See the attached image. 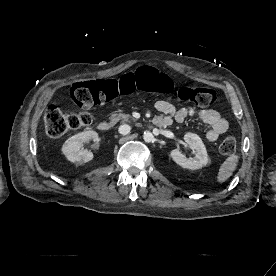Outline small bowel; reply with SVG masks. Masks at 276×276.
Wrapping results in <instances>:
<instances>
[{
    "mask_svg": "<svg viewBox=\"0 0 276 276\" xmlns=\"http://www.w3.org/2000/svg\"><path fill=\"white\" fill-rule=\"evenodd\" d=\"M155 107L162 113L159 117L166 119L169 125L173 121L181 123L188 117H198L210 127L206 133V138L210 142L216 141L229 128L228 121L215 109L176 108L172 103L165 100L156 102Z\"/></svg>",
    "mask_w": 276,
    "mask_h": 276,
    "instance_id": "small-bowel-1",
    "label": "small bowel"
}]
</instances>
